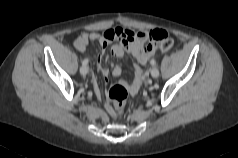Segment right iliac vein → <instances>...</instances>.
Wrapping results in <instances>:
<instances>
[{
    "label": "right iliac vein",
    "mask_w": 238,
    "mask_h": 158,
    "mask_svg": "<svg viewBox=\"0 0 238 158\" xmlns=\"http://www.w3.org/2000/svg\"><path fill=\"white\" fill-rule=\"evenodd\" d=\"M88 70H89V68H88L87 65H82L81 68H80V73L82 75H86L88 73Z\"/></svg>",
    "instance_id": "obj_1"
}]
</instances>
